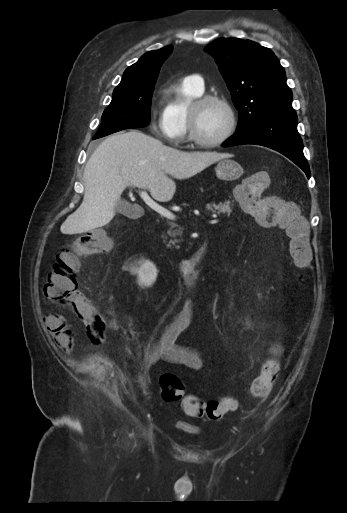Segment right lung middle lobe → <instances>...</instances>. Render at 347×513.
<instances>
[{
    "label": "right lung middle lobe",
    "instance_id": "dd1d6c3e",
    "mask_svg": "<svg viewBox=\"0 0 347 513\" xmlns=\"http://www.w3.org/2000/svg\"><path fill=\"white\" fill-rule=\"evenodd\" d=\"M154 85L155 83L145 87L115 89L113 99L102 115V124L94 138L148 125Z\"/></svg>",
    "mask_w": 347,
    "mask_h": 513
}]
</instances>
